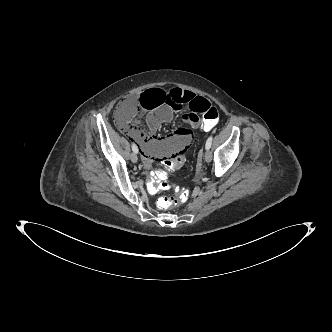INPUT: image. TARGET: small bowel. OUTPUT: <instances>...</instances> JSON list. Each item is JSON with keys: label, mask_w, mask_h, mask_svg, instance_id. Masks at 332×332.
<instances>
[{"label": "small bowel", "mask_w": 332, "mask_h": 332, "mask_svg": "<svg viewBox=\"0 0 332 332\" xmlns=\"http://www.w3.org/2000/svg\"><path fill=\"white\" fill-rule=\"evenodd\" d=\"M211 106L210 102L189 90L172 88L168 90L160 84H153L143 90L137 98L139 111L146 116L148 130L138 123L122 124L119 127L135 141L143 154V160L150 166L154 161L166 160L169 155L187 151L192 140L189 129H180L168 137H160L155 133L161 124L172 119L173 113L183 112V119L192 129H197L199 115Z\"/></svg>", "instance_id": "1"}]
</instances>
